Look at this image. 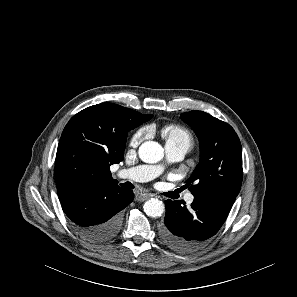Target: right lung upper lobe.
Masks as SVG:
<instances>
[{"mask_svg": "<svg viewBox=\"0 0 297 297\" xmlns=\"http://www.w3.org/2000/svg\"><path fill=\"white\" fill-rule=\"evenodd\" d=\"M113 103L90 106L67 123L55 164L58 194L82 181L117 182L109 167L123 160L127 133L152 118Z\"/></svg>", "mask_w": 297, "mask_h": 297, "instance_id": "right-lung-upper-lobe-1", "label": "right lung upper lobe"}]
</instances>
